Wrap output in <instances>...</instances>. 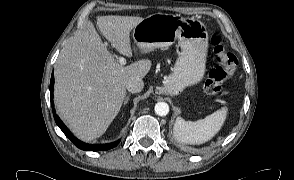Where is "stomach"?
<instances>
[{
    "mask_svg": "<svg viewBox=\"0 0 294 180\" xmlns=\"http://www.w3.org/2000/svg\"><path fill=\"white\" fill-rule=\"evenodd\" d=\"M134 43L142 52L169 47L178 41L181 54L172 74L166 79L165 91L177 95L187 86L201 81L205 73L208 32L194 17L155 13L143 18L133 29Z\"/></svg>",
    "mask_w": 294,
    "mask_h": 180,
    "instance_id": "1",
    "label": "stomach"
}]
</instances>
